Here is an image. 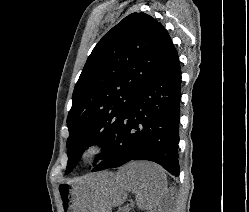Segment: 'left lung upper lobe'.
Wrapping results in <instances>:
<instances>
[{"mask_svg":"<svg viewBox=\"0 0 249 212\" xmlns=\"http://www.w3.org/2000/svg\"><path fill=\"white\" fill-rule=\"evenodd\" d=\"M172 45L162 24L145 13L128 15L102 37L74 88L66 174L87 146L99 144L97 159L106 156L131 100Z\"/></svg>","mask_w":249,"mask_h":212,"instance_id":"obj_1","label":"left lung upper lobe"}]
</instances>
